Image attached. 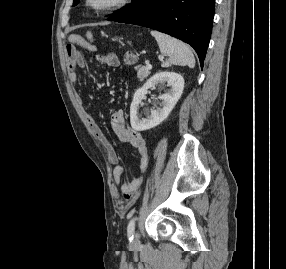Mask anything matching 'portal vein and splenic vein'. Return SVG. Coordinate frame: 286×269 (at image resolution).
<instances>
[{
  "instance_id": "1",
  "label": "portal vein and splenic vein",
  "mask_w": 286,
  "mask_h": 269,
  "mask_svg": "<svg viewBox=\"0 0 286 269\" xmlns=\"http://www.w3.org/2000/svg\"><path fill=\"white\" fill-rule=\"evenodd\" d=\"M146 68H147V69H152V65L149 64V63H147Z\"/></svg>"
}]
</instances>
